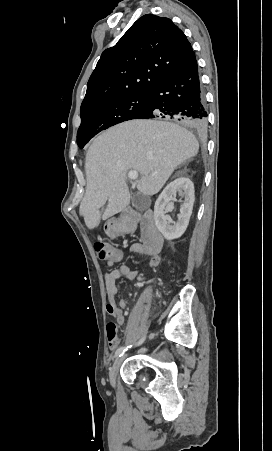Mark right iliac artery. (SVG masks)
Instances as JSON below:
<instances>
[{
  "label": "right iliac artery",
  "instance_id": "82829eb1",
  "mask_svg": "<svg viewBox=\"0 0 272 451\" xmlns=\"http://www.w3.org/2000/svg\"><path fill=\"white\" fill-rule=\"evenodd\" d=\"M144 339H145V338H142V339L138 342V345L142 344L143 341H144ZM131 347H132V345L127 346V347H125V346L120 347V348L116 351L115 356H116V357H121V356L128 350V348H131Z\"/></svg>",
  "mask_w": 272,
  "mask_h": 451
}]
</instances>
